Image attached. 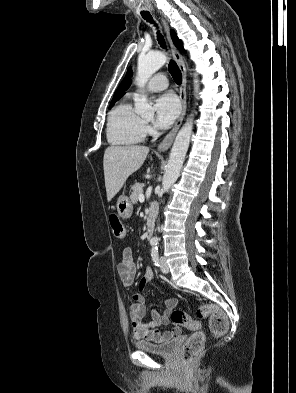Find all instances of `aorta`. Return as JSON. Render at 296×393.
I'll list each match as a JSON object with an SVG mask.
<instances>
[{
  "instance_id": "obj_1",
  "label": "aorta",
  "mask_w": 296,
  "mask_h": 393,
  "mask_svg": "<svg viewBox=\"0 0 296 393\" xmlns=\"http://www.w3.org/2000/svg\"><path fill=\"white\" fill-rule=\"evenodd\" d=\"M167 61V57L162 52H152L140 54L138 58L136 82L138 86L143 87L148 79L158 71ZM198 79H194V90L198 92ZM135 111L140 115L152 114L153 109L148 103L147 98L142 96L135 102ZM193 130V120L190 119L179 130L174 141L169 160L165 169L162 181V191L167 192L176 182L180 175L182 165L189 147L190 137Z\"/></svg>"
}]
</instances>
